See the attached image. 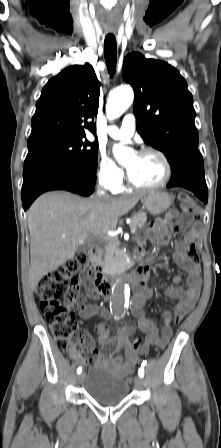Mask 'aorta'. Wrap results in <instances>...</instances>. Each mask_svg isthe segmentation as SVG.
<instances>
[{
    "label": "aorta",
    "mask_w": 221,
    "mask_h": 448,
    "mask_svg": "<svg viewBox=\"0 0 221 448\" xmlns=\"http://www.w3.org/2000/svg\"><path fill=\"white\" fill-rule=\"evenodd\" d=\"M133 98L134 93L130 86L124 85L116 88L108 99L106 107L107 116L110 119L119 117L132 104ZM113 154L120 164H124L127 156L130 154V149L122 144H117L113 146ZM116 293L121 295L122 289Z\"/></svg>",
    "instance_id": "aorta-1"
}]
</instances>
